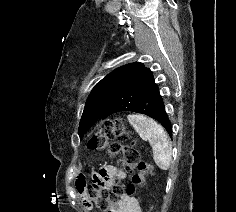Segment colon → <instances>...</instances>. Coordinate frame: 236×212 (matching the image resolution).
I'll use <instances>...</instances> for the list:
<instances>
[{
	"instance_id": "obj_1",
	"label": "colon",
	"mask_w": 236,
	"mask_h": 212,
	"mask_svg": "<svg viewBox=\"0 0 236 212\" xmlns=\"http://www.w3.org/2000/svg\"><path fill=\"white\" fill-rule=\"evenodd\" d=\"M113 138L125 141L129 139L122 121L118 118L103 120L98 127V132L89 140L88 148L98 152L106 151L111 156L120 155L124 168L128 171H136L127 190L129 194H133L139 186L146 183L147 176L153 173V167L141 160L140 152L133 143L108 145V140ZM105 186L100 177H97L86 187V195L103 212H112L111 207L117 203L121 190L116 185L112 190L105 191Z\"/></svg>"
}]
</instances>
